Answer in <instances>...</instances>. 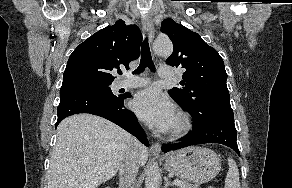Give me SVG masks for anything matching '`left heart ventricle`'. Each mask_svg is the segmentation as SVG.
<instances>
[{"label": "left heart ventricle", "mask_w": 292, "mask_h": 188, "mask_svg": "<svg viewBox=\"0 0 292 188\" xmlns=\"http://www.w3.org/2000/svg\"><path fill=\"white\" fill-rule=\"evenodd\" d=\"M175 125H176V119H175V121H174V123H173L172 127H174ZM172 127H171V128H172Z\"/></svg>", "instance_id": "1"}]
</instances>
